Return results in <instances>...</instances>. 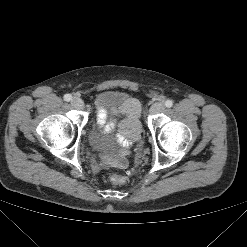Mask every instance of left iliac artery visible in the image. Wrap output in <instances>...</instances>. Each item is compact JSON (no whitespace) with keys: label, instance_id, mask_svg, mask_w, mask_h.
Here are the masks:
<instances>
[{"label":"left iliac artery","instance_id":"obj_1","mask_svg":"<svg viewBox=\"0 0 247 247\" xmlns=\"http://www.w3.org/2000/svg\"><path fill=\"white\" fill-rule=\"evenodd\" d=\"M165 106L168 107V108L172 107L173 106V101L172 100H167L165 102Z\"/></svg>","mask_w":247,"mask_h":247}]
</instances>
